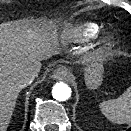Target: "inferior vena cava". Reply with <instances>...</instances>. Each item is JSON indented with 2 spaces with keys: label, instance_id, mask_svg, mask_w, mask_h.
I'll use <instances>...</instances> for the list:
<instances>
[{
  "label": "inferior vena cava",
  "instance_id": "inferior-vena-cava-1",
  "mask_svg": "<svg viewBox=\"0 0 131 131\" xmlns=\"http://www.w3.org/2000/svg\"><path fill=\"white\" fill-rule=\"evenodd\" d=\"M36 76H37V73L33 69L25 71V72L21 73V75L19 77V82L22 87H25V86L31 84Z\"/></svg>",
  "mask_w": 131,
  "mask_h": 131
}]
</instances>
